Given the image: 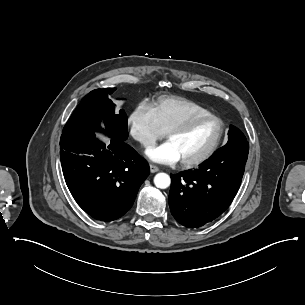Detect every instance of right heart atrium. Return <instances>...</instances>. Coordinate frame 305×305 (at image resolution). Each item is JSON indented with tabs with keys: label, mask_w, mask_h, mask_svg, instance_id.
<instances>
[{
	"label": "right heart atrium",
	"mask_w": 305,
	"mask_h": 305,
	"mask_svg": "<svg viewBox=\"0 0 305 305\" xmlns=\"http://www.w3.org/2000/svg\"><path fill=\"white\" fill-rule=\"evenodd\" d=\"M129 136L139 145L149 148L163 135L152 107L138 103L126 117Z\"/></svg>",
	"instance_id": "1"
}]
</instances>
